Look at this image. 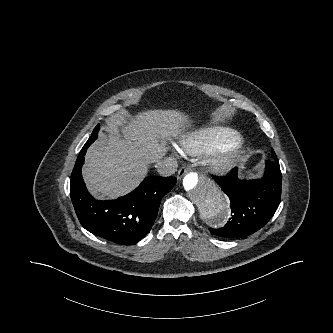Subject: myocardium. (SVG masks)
Instances as JSON below:
<instances>
[{
	"mask_svg": "<svg viewBox=\"0 0 333 333\" xmlns=\"http://www.w3.org/2000/svg\"><path fill=\"white\" fill-rule=\"evenodd\" d=\"M241 141H232L215 147L207 153V164L216 174L230 171L242 156Z\"/></svg>",
	"mask_w": 333,
	"mask_h": 333,
	"instance_id": "f54148a6",
	"label": "myocardium"
}]
</instances>
